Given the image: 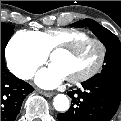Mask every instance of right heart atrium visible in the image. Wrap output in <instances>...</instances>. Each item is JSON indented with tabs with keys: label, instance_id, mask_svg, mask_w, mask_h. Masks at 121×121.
<instances>
[{
	"label": "right heart atrium",
	"instance_id": "d8ad5b80",
	"mask_svg": "<svg viewBox=\"0 0 121 121\" xmlns=\"http://www.w3.org/2000/svg\"><path fill=\"white\" fill-rule=\"evenodd\" d=\"M45 59L46 54L33 38L19 32L10 39L6 49V61L19 77H29Z\"/></svg>",
	"mask_w": 121,
	"mask_h": 121
}]
</instances>
